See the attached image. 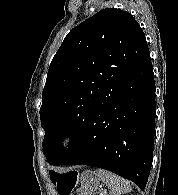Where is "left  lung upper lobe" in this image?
I'll return each instance as SVG.
<instances>
[{
  "instance_id": "obj_1",
  "label": "left lung upper lobe",
  "mask_w": 178,
  "mask_h": 195,
  "mask_svg": "<svg viewBox=\"0 0 178 195\" xmlns=\"http://www.w3.org/2000/svg\"><path fill=\"white\" fill-rule=\"evenodd\" d=\"M149 55L140 25L120 9L101 10L67 34L50 64L40 108L50 164L57 165L98 106ZM66 137L67 150L62 146Z\"/></svg>"
}]
</instances>
